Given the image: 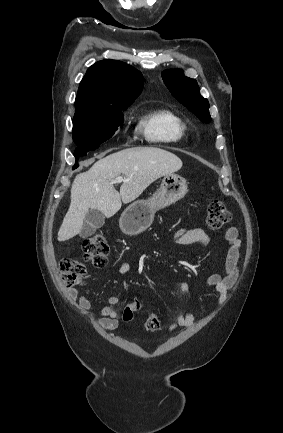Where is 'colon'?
<instances>
[{
    "label": "colon",
    "mask_w": 283,
    "mask_h": 433,
    "mask_svg": "<svg viewBox=\"0 0 283 433\" xmlns=\"http://www.w3.org/2000/svg\"><path fill=\"white\" fill-rule=\"evenodd\" d=\"M231 215L220 201L213 200L207 204L206 224L212 230H219L230 221ZM85 261L95 267L102 268L106 265L109 253V244L106 236L95 233L87 237L82 244ZM62 278L68 287H74L81 282L85 273V266L75 259H64L60 263ZM140 304L133 302L123 310V320L128 322L134 317ZM162 326V321L156 314H150L145 321V328L149 332H155Z\"/></svg>",
    "instance_id": "5ec220e1"
}]
</instances>
